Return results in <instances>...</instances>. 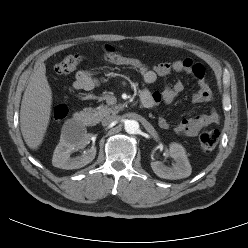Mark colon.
<instances>
[{"mask_svg": "<svg viewBox=\"0 0 248 248\" xmlns=\"http://www.w3.org/2000/svg\"><path fill=\"white\" fill-rule=\"evenodd\" d=\"M102 58L110 63L124 65L136 70H141L149 67L142 60L124 55L116 51L111 46H104L102 51ZM84 61V57L79 54H69L64 56L55 66V71L59 75H69L73 73L77 67ZM68 109L65 105L60 104L54 108L53 118L55 121H62L66 118ZM219 132L217 130H210L202 133L199 138V143L205 152H211L215 149L219 141Z\"/></svg>", "mask_w": 248, "mask_h": 248, "instance_id": "1", "label": "colon"}]
</instances>
